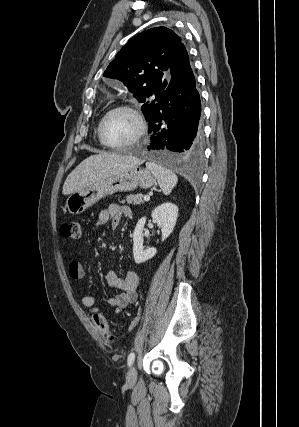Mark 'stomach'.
<instances>
[{
  "mask_svg": "<svg viewBox=\"0 0 299 427\" xmlns=\"http://www.w3.org/2000/svg\"><path fill=\"white\" fill-rule=\"evenodd\" d=\"M155 183L156 179L148 169L133 167L72 193L67 198L65 206L70 214L78 215L108 195L133 191L138 187L148 189Z\"/></svg>",
  "mask_w": 299,
  "mask_h": 427,
  "instance_id": "obj_1",
  "label": "stomach"
}]
</instances>
